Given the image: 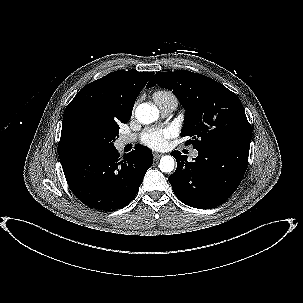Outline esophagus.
Returning <instances> with one entry per match:
<instances>
[{"mask_svg": "<svg viewBox=\"0 0 303 303\" xmlns=\"http://www.w3.org/2000/svg\"><path fill=\"white\" fill-rule=\"evenodd\" d=\"M162 155L163 154L157 152L153 153L154 159H159Z\"/></svg>", "mask_w": 303, "mask_h": 303, "instance_id": "obj_1", "label": "esophagus"}]
</instances>
